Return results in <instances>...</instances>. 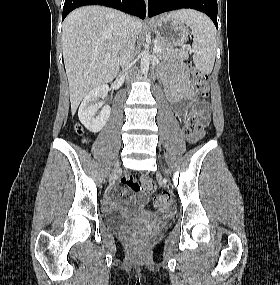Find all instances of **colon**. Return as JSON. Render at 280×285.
<instances>
[{
    "mask_svg": "<svg viewBox=\"0 0 280 285\" xmlns=\"http://www.w3.org/2000/svg\"><path fill=\"white\" fill-rule=\"evenodd\" d=\"M192 82L195 92L201 101H205L209 95L208 75L198 69H192ZM207 121L200 118L196 111L188 112L183 121V130L190 142H197L205 134V126ZM81 133V129L78 128ZM121 182L130 186L133 190H142L145 193L151 194L155 191L156 186L151 178L144 176L140 181L134 178L130 173H124L121 177ZM169 196L166 193L158 194L153 197V204L157 207L167 205Z\"/></svg>",
    "mask_w": 280,
    "mask_h": 285,
    "instance_id": "5ec220e1",
    "label": "colon"
}]
</instances>
